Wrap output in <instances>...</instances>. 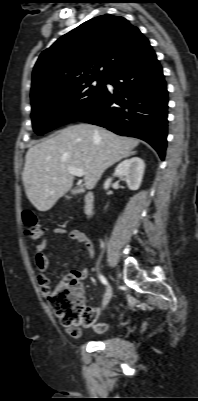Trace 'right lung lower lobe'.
<instances>
[{
    "label": "right lung lower lobe",
    "mask_w": 198,
    "mask_h": 401,
    "mask_svg": "<svg viewBox=\"0 0 198 401\" xmlns=\"http://www.w3.org/2000/svg\"><path fill=\"white\" fill-rule=\"evenodd\" d=\"M97 104L78 120L105 127L119 135L148 142L163 160L167 137L168 94L162 68L149 46L112 74Z\"/></svg>",
    "instance_id": "1"
}]
</instances>
